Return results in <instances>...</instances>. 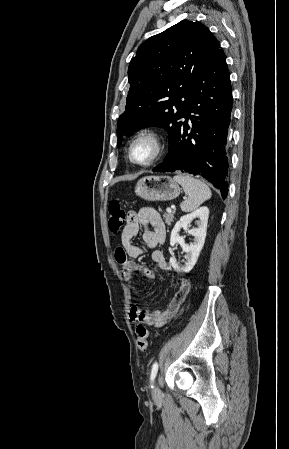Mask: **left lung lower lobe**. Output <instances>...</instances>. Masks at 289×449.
<instances>
[{"mask_svg": "<svg viewBox=\"0 0 289 449\" xmlns=\"http://www.w3.org/2000/svg\"><path fill=\"white\" fill-rule=\"evenodd\" d=\"M232 111L230 75L223 50L210 58L191 89L189 104L169 143V152L154 172L202 176L228 193V134Z\"/></svg>", "mask_w": 289, "mask_h": 449, "instance_id": "left-lung-lower-lobe-1", "label": "left lung lower lobe"}]
</instances>
